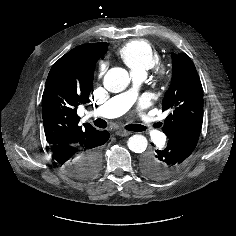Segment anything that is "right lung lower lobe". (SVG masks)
I'll return each mask as SVG.
<instances>
[{
    "mask_svg": "<svg viewBox=\"0 0 236 236\" xmlns=\"http://www.w3.org/2000/svg\"><path fill=\"white\" fill-rule=\"evenodd\" d=\"M109 139L108 131H99L84 146H64L52 150V156L57 164L75 178H83L84 166L88 155H96L101 162L100 148Z\"/></svg>",
    "mask_w": 236,
    "mask_h": 236,
    "instance_id": "98d812e1",
    "label": "right lung lower lobe"
}]
</instances>
